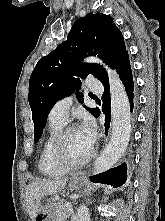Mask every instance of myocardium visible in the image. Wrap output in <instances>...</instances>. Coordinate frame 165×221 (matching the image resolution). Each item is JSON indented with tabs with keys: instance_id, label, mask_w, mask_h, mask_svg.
<instances>
[{
	"instance_id": "1",
	"label": "myocardium",
	"mask_w": 165,
	"mask_h": 221,
	"mask_svg": "<svg viewBox=\"0 0 165 221\" xmlns=\"http://www.w3.org/2000/svg\"><path fill=\"white\" fill-rule=\"evenodd\" d=\"M78 129L76 125H67L64 126L56 135L53 147H52V156L53 160L57 166L66 170H75L86 165L95 155V147L92 145L90 152L80 161H70L64 151V143L68 134Z\"/></svg>"
}]
</instances>
